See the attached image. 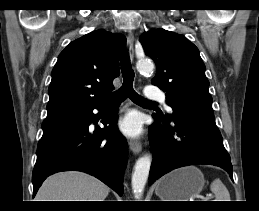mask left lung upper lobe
<instances>
[{
    "label": "left lung upper lobe",
    "mask_w": 259,
    "mask_h": 211,
    "mask_svg": "<svg viewBox=\"0 0 259 211\" xmlns=\"http://www.w3.org/2000/svg\"><path fill=\"white\" fill-rule=\"evenodd\" d=\"M140 41L157 66L152 84L166 92L173 114L214 119L209 81L198 48L183 35L164 29L145 32Z\"/></svg>",
    "instance_id": "1"
}]
</instances>
